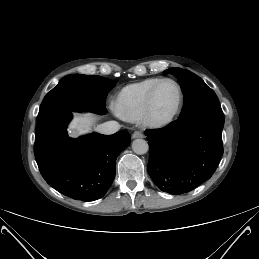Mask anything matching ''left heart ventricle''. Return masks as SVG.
<instances>
[{
  "instance_id": "left-heart-ventricle-1",
  "label": "left heart ventricle",
  "mask_w": 259,
  "mask_h": 259,
  "mask_svg": "<svg viewBox=\"0 0 259 259\" xmlns=\"http://www.w3.org/2000/svg\"><path fill=\"white\" fill-rule=\"evenodd\" d=\"M177 98V89L172 83L165 82L161 84L155 94V114L160 117L169 115L176 106Z\"/></svg>"
}]
</instances>
